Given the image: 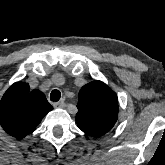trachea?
I'll return each mask as SVG.
<instances>
[{"instance_id":"3493384b","label":"trachea","mask_w":165,"mask_h":165,"mask_svg":"<svg viewBox=\"0 0 165 165\" xmlns=\"http://www.w3.org/2000/svg\"><path fill=\"white\" fill-rule=\"evenodd\" d=\"M61 97V93L59 90H53L50 94V100L53 101V102H56L60 99Z\"/></svg>"}]
</instances>
